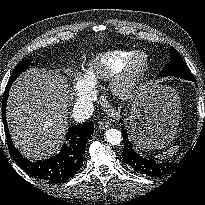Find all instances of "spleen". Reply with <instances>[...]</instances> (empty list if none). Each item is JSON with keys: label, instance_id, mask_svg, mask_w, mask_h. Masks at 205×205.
Segmentation results:
<instances>
[{"label": "spleen", "instance_id": "spleen-1", "mask_svg": "<svg viewBox=\"0 0 205 205\" xmlns=\"http://www.w3.org/2000/svg\"><path fill=\"white\" fill-rule=\"evenodd\" d=\"M176 150H177L176 147H172V148H170L169 150H167L162 156H164V157H170V156H172L173 154L176 153Z\"/></svg>", "mask_w": 205, "mask_h": 205}]
</instances>
